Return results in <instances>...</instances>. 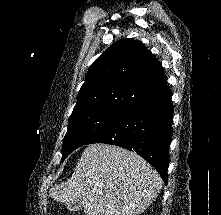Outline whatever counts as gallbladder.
Listing matches in <instances>:
<instances>
[{
	"mask_svg": "<svg viewBox=\"0 0 221 215\" xmlns=\"http://www.w3.org/2000/svg\"><path fill=\"white\" fill-rule=\"evenodd\" d=\"M66 208L71 212H77L82 208V202L81 200H78L77 202H69L66 204Z\"/></svg>",
	"mask_w": 221,
	"mask_h": 215,
	"instance_id": "1",
	"label": "gallbladder"
}]
</instances>
